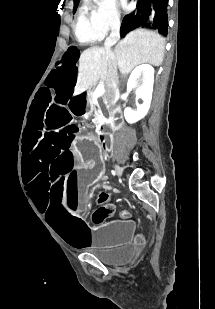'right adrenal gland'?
Masks as SVG:
<instances>
[{"instance_id":"obj_1","label":"right adrenal gland","mask_w":215,"mask_h":309,"mask_svg":"<svg viewBox=\"0 0 215 309\" xmlns=\"http://www.w3.org/2000/svg\"><path fill=\"white\" fill-rule=\"evenodd\" d=\"M123 76H126V72H123Z\"/></svg>"}]
</instances>
